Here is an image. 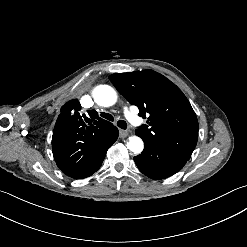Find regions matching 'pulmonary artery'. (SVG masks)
Segmentation results:
<instances>
[{"label":"pulmonary artery","instance_id":"pulmonary-artery-1","mask_svg":"<svg viewBox=\"0 0 247 247\" xmlns=\"http://www.w3.org/2000/svg\"><path fill=\"white\" fill-rule=\"evenodd\" d=\"M123 110H124L125 117L129 119V122L133 126L139 127L142 124V121L139 118L132 116V114L130 113V111L128 110L126 106L123 108Z\"/></svg>","mask_w":247,"mask_h":247}]
</instances>
